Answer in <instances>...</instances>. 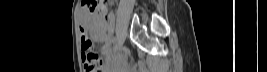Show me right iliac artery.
<instances>
[{
  "label": "right iliac artery",
  "mask_w": 267,
  "mask_h": 72,
  "mask_svg": "<svg viewBox=\"0 0 267 72\" xmlns=\"http://www.w3.org/2000/svg\"><path fill=\"white\" fill-rule=\"evenodd\" d=\"M117 45H118V41H117V39H114L113 40V49H116Z\"/></svg>",
  "instance_id": "82829eb1"
}]
</instances>
